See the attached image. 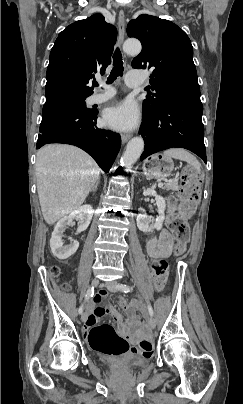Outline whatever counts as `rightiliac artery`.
<instances>
[{"instance_id": "obj_1", "label": "right iliac artery", "mask_w": 243, "mask_h": 404, "mask_svg": "<svg viewBox=\"0 0 243 404\" xmlns=\"http://www.w3.org/2000/svg\"><path fill=\"white\" fill-rule=\"evenodd\" d=\"M93 295H94V287H90V288L87 290V293H86V296H85V302H86L90 297H92ZM83 309H84V304H82V305L80 306V308H79V310H78L79 314H82Z\"/></svg>"}]
</instances>
